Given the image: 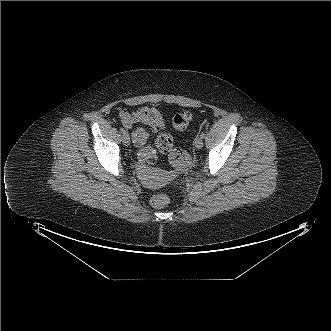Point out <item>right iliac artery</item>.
<instances>
[{
	"label": "right iliac artery",
	"mask_w": 331,
	"mask_h": 331,
	"mask_svg": "<svg viewBox=\"0 0 331 331\" xmlns=\"http://www.w3.org/2000/svg\"><path fill=\"white\" fill-rule=\"evenodd\" d=\"M120 132H121L122 134H124L126 131H125V129H124L123 127H120Z\"/></svg>",
	"instance_id": "82829eb1"
}]
</instances>
